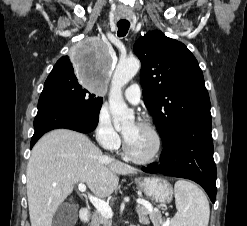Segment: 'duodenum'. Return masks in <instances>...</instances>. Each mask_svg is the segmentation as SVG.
Wrapping results in <instances>:
<instances>
[{
	"label": "duodenum",
	"instance_id": "duodenum-1",
	"mask_svg": "<svg viewBox=\"0 0 247 226\" xmlns=\"http://www.w3.org/2000/svg\"><path fill=\"white\" fill-rule=\"evenodd\" d=\"M90 218V211L88 208H82L80 210V219L82 222H87Z\"/></svg>",
	"mask_w": 247,
	"mask_h": 226
}]
</instances>
